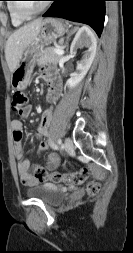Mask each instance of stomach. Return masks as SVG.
<instances>
[{"label":"stomach","mask_w":133,"mask_h":253,"mask_svg":"<svg viewBox=\"0 0 133 253\" xmlns=\"http://www.w3.org/2000/svg\"><path fill=\"white\" fill-rule=\"evenodd\" d=\"M66 32V27L57 19L46 18L42 21L39 35L23 51L16 69L12 72L11 85L13 89L24 90L28 86L39 51L43 47L55 43Z\"/></svg>","instance_id":"obj_1"}]
</instances>
